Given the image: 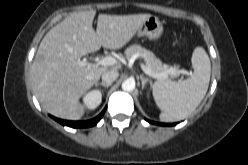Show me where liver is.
Here are the masks:
<instances>
[{"label":"liver","instance_id":"liver-1","mask_svg":"<svg viewBox=\"0 0 248 165\" xmlns=\"http://www.w3.org/2000/svg\"><path fill=\"white\" fill-rule=\"evenodd\" d=\"M96 11L75 12L54 26L42 39L30 68L33 92L48 113L78 120L84 114L80 97L88 91L107 66L78 65L80 59L101 46L117 50L126 45L151 15L98 16Z\"/></svg>","mask_w":248,"mask_h":165}]
</instances>
